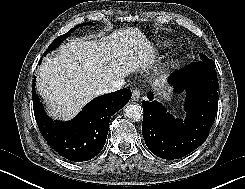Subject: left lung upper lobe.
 <instances>
[{"label": "left lung upper lobe", "instance_id": "left-lung-upper-lobe-1", "mask_svg": "<svg viewBox=\"0 0 245 189\" xmlns=\"http://www.w3.org/2000/svg\"><path fill=\"white\" fill-rule=\"evenodd\" d=\"M200 59L201 61H205L209 63L211 66L216 67L215 63L211 59H209L207 56H205L203 53H200Z\"/></svg>", "mask_w": 245, "mask_h": 189}]
</instances>
